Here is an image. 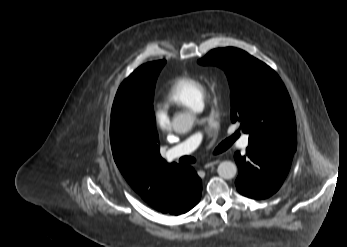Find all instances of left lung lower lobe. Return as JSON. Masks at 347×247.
<instances>
[{"label": "left lung lower lobe", "instance_id": "left-lung-lower-lobe-1", "mask_svg": "<svg viewBox=\"0 0 347 247\" xmlns=\"http://www.w3.org/2000/svg\"><path fill=\"white\" fill-rule=\"evenodd\" d=\"M246 151L244 156L234 155L239 169L236 188L250 198H268L283 184L295 151L273 146H248Z\"/></svg>", "mask_w": 347, "mask_h": 247}]
</instances>
